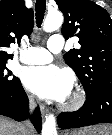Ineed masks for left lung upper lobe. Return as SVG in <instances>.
<instances>
[{
  "mask_svg": "<svg viewBox=\"0 0 112 135\" xmlns=\"http://www.w3.org/2000/svg\"><path fill=\"white\" fill-rule=\"evenodd\" d=\"M64 15L62 34H75L80 49L64 55L80 79L86 95L112 84V19L108 12L89 0H56Z\"/></svg>",
  "mask_w": 112,
  "mask_h": 135,
  "instance_id": "left-lung-upper-lobe-1",
  "label": "left lung upper lobe"
}]
</instances>
